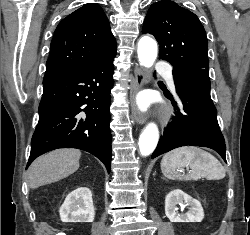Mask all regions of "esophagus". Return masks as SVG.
Listing matches in <instances>:
<instances>
[{"label":"esophagus","mask_w":250,"mask_h":235,"mask_svg":"<svg viewBox=\"0 0 250 235\" xmlns=\"http://www.w3.org/2000/svg\"><path fill=\"white\" fill-rule=\"evenodd\" d=\"M145 76L142 69L136 66L134 69V80L131 86V99H132V117L137 124H143L146 121V116L142 113L135 103V95L144 86Z\"/></svg>","instance_id":"esophagus-1"}]
</instances>
